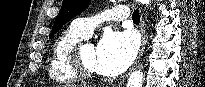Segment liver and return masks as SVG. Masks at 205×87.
Listing matches in <instances>:
<instances>
[{"instance_id":"liver-1","label":"liver","mask_w":205,"mask_h":87,"mask_svg":"<svg viewBox=\"0 0 205 87\" xmlns=\"http://www.w3.org/2000/svg\"><path fill=\"white\" fill-rule=\"evenodd\" d=\"M64 87H85V86L71 84V85H65Z\"/></svg>"}]
</instances>
